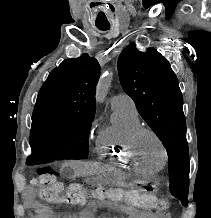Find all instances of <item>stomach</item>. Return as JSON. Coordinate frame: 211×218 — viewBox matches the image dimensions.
<instances>
[{"label": "stomach", "mask_w": 211, "mask_h": 218, "mask_svg": "<svg viewBox=\"0 0 211 218\" xmlns=\"http://www.w3.org/2000/svg\"><path fill=\"white\" fill-rule=\"evenodd\" d=\"M91 182L95 184L101 183L106 186L137 188L148 184L150 180L129 174H101L93 178Z\"/></svg>", "instance_id": "0dacf381"}]
</instances>
